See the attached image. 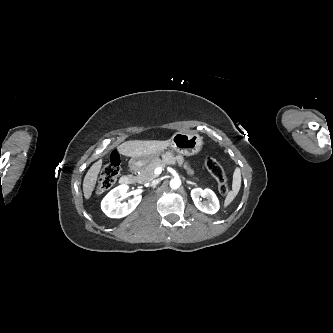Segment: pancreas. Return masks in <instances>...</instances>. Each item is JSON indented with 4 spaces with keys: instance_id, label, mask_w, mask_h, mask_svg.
<instances>
[{
    "instance_id": "obj_1",
    "label": "pancreas",
    "mask_w": 333,
    "mask_h": 333,
    "mask_svg": "<svg viewBox=\"0 0 333 333\" xmlns=\"http://www.w3.org/2000/svg\"><path fill=\"white\" fill-rule=\"evenodd\" d=\"M178 164L179 167L183 166L187 174L190 176L194 175V170L188 167V163L184 162V159L180 155H175L171 152L165 153L162 158H155L150 163H148L145 167L140 169L139 174L136 175V180L139 183H147L155 178L157 175L154 173L155 168L164 167L166 165H175Z\"/></svg>"
}]
</instances>
